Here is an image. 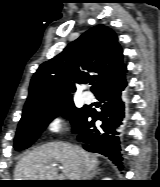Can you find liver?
Masks as SVG:
<instances>
[{
    "label": "liver",
    "mask_w": 160,
    "mask_h": 187,
    "mask_svg": "<svg viewBox=\"0 0 160 187\" xmlns=\"http://www.w3.org/2000/svg\"><path fill=\"white\" fill-rule=\"evenodd\" d=\"M68 180H81L96 169V155L64 142H49L24 155L16 165L15 180H58L57 165Z\"/></svg>",
    "instance_id": "obj_1"
}]
</instances>
